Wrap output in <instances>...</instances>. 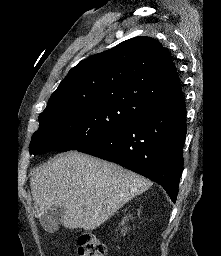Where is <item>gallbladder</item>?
<instances>
[{
  "label": "gallbladder",
  "mask_w": 221,
  "mask_h": 256,
  "mask_svg": "<svg viewBox=\"0 0 221 256\" xmlns=\"http://www.w3.org/2000/svg\"><path fill=\"white\" fill-rule=\"evenodd\" d=\"M64 211L60 207H53L40 218L41 225L48 232L57 230L58 225L61 224V217Z\"/></svg>",
  "instance_id": "gallbladder-1"
}]
</instances>
